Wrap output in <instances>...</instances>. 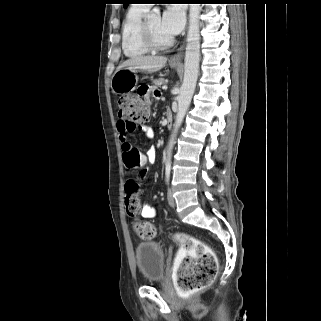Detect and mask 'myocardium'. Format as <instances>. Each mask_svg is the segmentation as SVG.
I'll return each mask as SVG.
<instances>
[{"label":"myocardium","instance_id":"1","mask_svg":"<svg viewBox=\"0 0 321 321\" xmlns=\"http://www.w3.org/2000/svg\"><path fill=\"white\" fill-rule=\"evenodd\" d=\"M140 33H141L142 42L150 50H154V51L166 50L174 44L173 37H171L166 42H158L154 38L148 23V17L143 19Z\"/></svg>","mask_w":321,"mask_h":321}]
</instances>
